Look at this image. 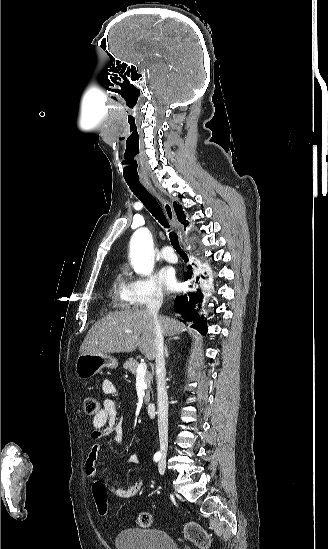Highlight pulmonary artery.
I'll return each instance as SVG.
<instances>
[{
  "label": "pulmonary artery",
  "instance_id": "e3ab8cb5",
  "mask_svg": "<svg viewBox=\"0 0 328 549\" xmlns=\"http://www.w3.org/2000/svg\"><path fill=\"white\" fill-rule=\"evenodd\" d=\"M160 255L167 262H175L177 260L176 255L170 248H165L162 250Z\"/></svg>",
  "mask_w": 328,
  "mask_h": 549
}]
</instances>
